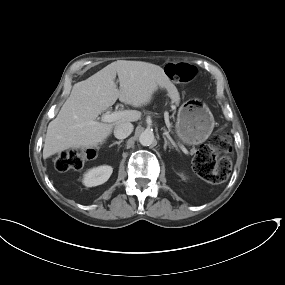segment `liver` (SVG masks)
<instances>
[{"mask_svg": "<svg viewBox=\"0 0 285 285\" xmlns=\"http://www.w3.org/2000/svg\"><path fill=\"white\" fill-rule=\"evenodd\" d=\"M116 75L120 89L115 83ZM158 87L167 90L172 102L179 103L178 90L164 70L147 62L118 60L88 79L74 84L57 117L48 125L43 158L70 148L99 146L116 125L139 120L141 112L125 110L124 115L112 123L97 121L98 115L117 99L134 107L147 105Z\"/></svg>", "mask_w": 285, "mask_h": 285, "instance_id": "obj_1", "label": "liver"}]
</instances>
